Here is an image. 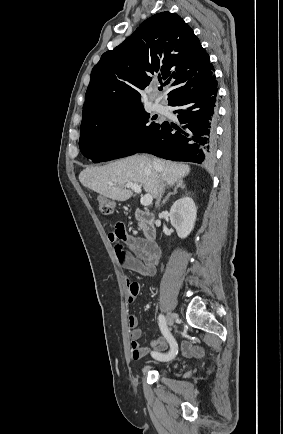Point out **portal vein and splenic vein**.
<instances>
[{
	"mask_svg": "<svg viewBox=\"0 0 283 434\" xmlns=\"http://www.w3.org/2000/svg\"><path fill=\"white\" fill-rule=\"evenodd\" d=\"M126 188H130L136 193H141V186L138 184L128 183L126 184ZM152 201H153V197L150 194L144 195L143 197H141L140 200L143 206H149L150 204H152Z\"/></svg>",
	"mask_w": 283,
	"mask_h": 434,
	"instance_id": "1",
	"label": "portal vein and splenic vein"
}]
</instances>
